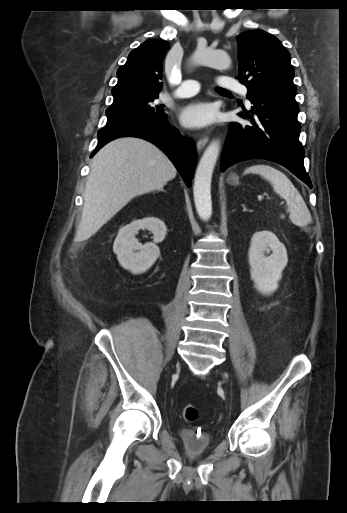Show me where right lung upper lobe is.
Listing matches in <instances>:
<instances>
[{
    "label": "right lung upper lobe",
    "mask_w": 347,
    "mask_h": 513,
    "mask_svg": "<svg viewBox=\"0 0 347 513\" xmlns=\"http://www.w3.org/2000/svg\"><path fill=\"white\" fill-rule=\"evenodd\" d=\"M170 48L167 41L150 39L130 52L117 71L118 82L111 93L114 102L125 98L158 95L162 88V61Z\"/></svg>",
    "instance_id": "right-lung-upper-lobe-1"
}]
</instances>
